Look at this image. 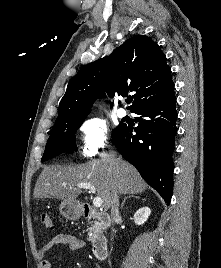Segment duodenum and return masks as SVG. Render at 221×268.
<instances>
[{"label": "duodenum", "mask_w": 221, "mask_h": 268, "mask_svg": "<svg viewBox=\"0 0 221 268\" xmlns=\"http://www.w3.org/2000/svg\"><path fill=\"white\" fill-rule=\"evenodd\" d=\"M83 215L86 218H95L100 221L101 225L106 228L111 223V218L107 214L95 211L89 206L84 207ZM108 245L105 236L97 237L92 245V253L97 260H104L107 257Z\"/></svg>", "instance_id": "duodenum-1"}]
</instances>
